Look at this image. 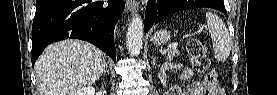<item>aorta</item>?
<instances>
[{
	"instance_id": "762f6f07",
	"label": "aorta",
	"mask_w": 277,
	"mask_h": 95,
	"mask_svg": "<svg viewBox=\"0 0 277 95\" xmlns=\"http://www.w3.org/2000/svg\"><path fill=\"white\" fill-rule=\"evenodd\" d=\"M144 26L141 16L135 15L129 26L126 36V46L132 56H138L142 50Z\"/></svg>"
}]
</instances>
